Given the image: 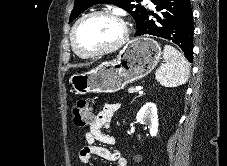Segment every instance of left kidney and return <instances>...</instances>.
I'll use <instances>...</instances> for the list:
<instances>
[{
  "label": "left kidney",
  "mask_w": 227,
  "mask_h": 166,
  "mask_svg": "<svg viewBox=\"0 0 227 166\" xmlns=\"http://www.w3.org/2000/svg\"><path fill=\"white\" fill-rule=\"evenodd\" d=\"M137 122L149 126V132L152 137L158 133V115L157 107L154 103L148 102L141 107L136 116Z\"/></svg>",
  "instance_id": "5707ae66"
}]
</instances>
